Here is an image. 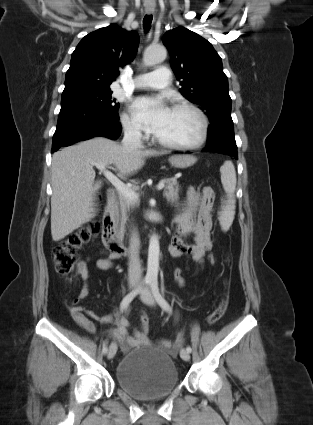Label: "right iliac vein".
I'll list each match as a JSON object with an SVG mask.
<instances>
[{"label": "right iliac vein", "instance_id": "obj_1", "mask_svg": "<svg viewBox=\"0 0 313 425\" xmlns=\"http://www.w3.org/2000/svg\"><path fill=\"white\" fill-rule=\"evenodd\" d=\"M136 286H137L136 283L130 284V288H135ZM116 351H117V345L115 343H111V345L109 346L108 353H107L108 359H112L115 356Z\"/></svg>", "mask_w": 313, "mask_h": 425}]
</instances>
